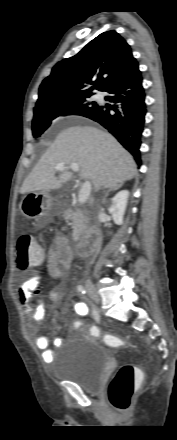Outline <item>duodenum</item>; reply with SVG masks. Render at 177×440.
<instances>
[{
  "mask_svg": "<svg viewBox=\"0 0 177 440\" xmlns=\"http://www.w3.org/2000/svg\"><path fill=\"white\" fill-rule=\"evenodd\" d=\"M102 237V231L98 226H92L85 236L78 240L76 251L79 256L85 257L91 255L99 245Z\"/></svg>",
  "mask_w": 177,
  "mask_h": 440,
  "instance_id": "duodenum-1",
  "label": "duodenum"
}]
</instances>
